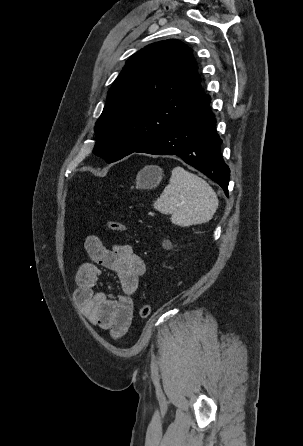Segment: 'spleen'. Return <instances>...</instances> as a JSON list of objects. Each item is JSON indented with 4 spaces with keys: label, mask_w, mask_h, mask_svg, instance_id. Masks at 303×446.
Wrapping results in <instances>:
<instances>
[{
    "label": "spleen",
    "mask_w": 303,
    "mask_h": 446,
    "mask_svg": "<svg viewBox=\"0 0 303 446\" xmlns=\"http://www.w3.org/2000/svg\"><path fill=\"white\" fill-rule=\"evenodd\" d=\"M153 206L160 213L172 214L173 224L187 227L211 220L218 208V198L204 179L175 167L169 184Z\"/></svg>",
    "instance_id": "obj_1"
}]
</instances>
